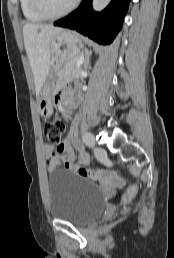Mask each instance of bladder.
<instances>
[{"mask_svg":"<svg viewBox=\"0 0 174 258\" xmlns=\"http://www.w3.org/2000/svg\"><path fill=\"white\" fill-rule=\"evenodd\" d=\"M48 211L53 219L86 225L106 207L102 190L67 170L56 169L48 177Z\"/></svg>","mask_w":174,"mask_h":258,"instance_id":"bladder-1","label":"bladder"}]
</instances>
